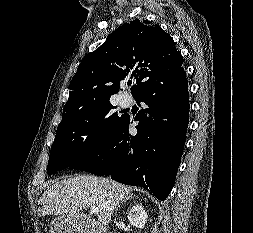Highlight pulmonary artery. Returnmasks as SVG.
<instances>
[{"label": "pulmonary artery", "mask_w": 253, "mask_h": 233, "mask_svg": "<svg viewBox=\"0 0 253 233\" xmlns=\"http://www.w3.org/2000/svg\"><path fill=\"white\" fill-rule=\"evenodd\" d=\"M120 103L122 106L127 107L130 105L131 101L129 99H122Z\"/></svg>", "instance_id": "1"}]
</instances>
